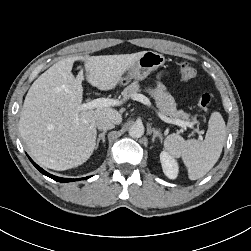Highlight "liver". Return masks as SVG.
<instances>
[{
    "label": "liver",
    "mask_w": 251,
    "mask_h": 251,
    "mask_svg": "<svg viewBox=\"0 0 251 251\" xmlns=\"http://www.w3.org/2000/svg\"><path fill=\"white\" fill-rule=\"evenodd\" d=\"M144 52L63 59L34 81L24 100L19 131L41 165L63 171L83 164L96 146L97 119L109 116L116 124L122 120L118 111L109 107L79 109L84 76L81 71L74 77V62L83 61L87 81L107 91L120 83L124 72Z\"/></svg>",
    "instance_id": "obj_1"
}]
</instances>
